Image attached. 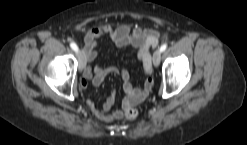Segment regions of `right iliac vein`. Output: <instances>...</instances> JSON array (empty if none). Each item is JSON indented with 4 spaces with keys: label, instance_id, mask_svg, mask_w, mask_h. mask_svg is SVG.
I'll return each instance as SVG.
<instances>
[{
    "label": "right iliac vein",
    "instance_id": "63e3f726",
    "mask_svg": "<svg viewBox=\"0 0 247 145\" xmlns=\"http://www.w3.org/2000/svg\"><path fill=\"white\" fill-rule=\"evenodd\" d=\"M86 66V60H85V54H84V50H79V68L80 70H84Z\"/></svg>",
    "mask_w": 247,
    "mask_h": 145
}]
</instances>
